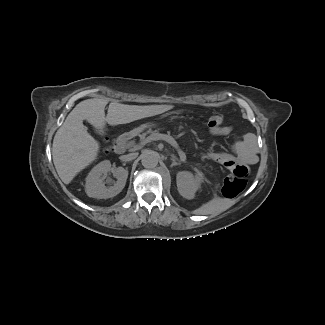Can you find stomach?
Here are the masks:
<instances>
[{"mask_svg":"<svg viewBox=\"0 0 325 325\" xmlns=\"http://www.w3.org/2000/svg\"><path fill=\"white\" fill-rule=\"evenodd\" d=\"M142 130H143V127H141V128H137V129L132 130L131 132H129V135H130V136H135V135H137L138 133H140Z\"/></svg>","mask_w":325,"mask_h":325,"instance_id":"1","label":"stomach"}]
</instances>
